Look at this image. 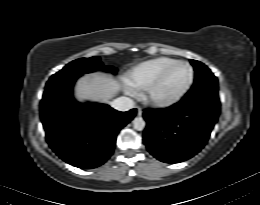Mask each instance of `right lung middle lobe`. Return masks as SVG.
Returning a JSON list of instances; mask_svg holds the SVG:
<instances>
[{
    "instance_id": "obj_1",
    "label": "right lung middle lobe",
    "mask_w": 260,
    "mask_h": 205,
    "mask_svg": "<svg viewBox=\"0 0 260 205\" xmlns=\"http://www.w3.org/2000/svg\"><path fill=\"white\" fill-rule=\"evenodd\" d=\"M96 70H107L115 73L116 69L110 66H104L100 58L95 56L91 58H80L67 64L62 70L54 74L60 76L62 74H84Z\"/></svg>"
}]
</instances>
